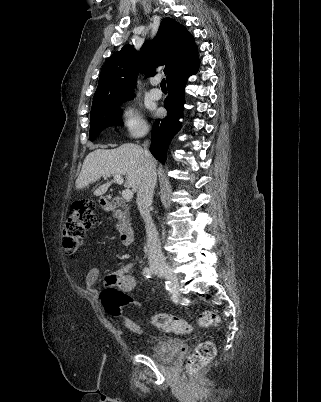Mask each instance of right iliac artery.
I'll return each mask as SVG.
<instances>
[{
  "mask_svg": "<svg viewBox=\"0 0 321 402\" xmlns=\"http://www.w3.org/2000/svg\"><path fill=\"white\" fill-rule=\"evenodd\" d=\"M143 275L146 278H151L152 275H153V271L150 268L145 267L144 270H143ZM166 289L169 290L170 292H172V287L170 285V282H167ZM173 297H174V300H176L177 297L176 296H173Z\"/></svg>",
  "mask_w": 321,
  "mask_h": 402,
  "instance_id": "obj_1",
  "label": "right iliac artery"
}]
</instances>
